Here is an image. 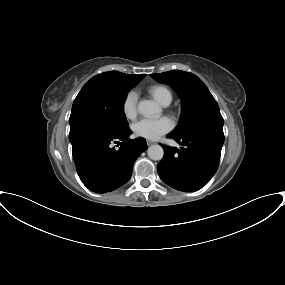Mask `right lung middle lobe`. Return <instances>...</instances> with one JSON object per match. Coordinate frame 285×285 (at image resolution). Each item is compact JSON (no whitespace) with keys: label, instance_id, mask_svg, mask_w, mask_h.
<instances>
[{"label":"right lung middle lobe","instance_id":"obj_1","mask_svg":"<svg viewBox=\"0 0 285 285\" xmlns=\"http://www.w3.org/2000/svg\"><path fill=\"white\" fill-rule=\"evenodd\" d=\"M132 87L113 84L83 86L72 106L69 140L87 132L118 135L128 130L123 107Z\"/></svg>","mask_w":285,"mask_h":285}]
</instances>
